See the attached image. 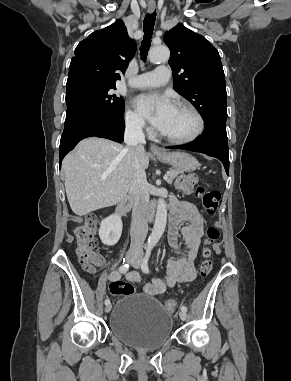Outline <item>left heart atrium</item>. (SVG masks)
<instances>
[{"label": "left heart atrium", "mask_w": 291, "mask_h": 381, "mask_svg": "<svg viewBox=\"0 0 291 381\" xmlns=\"http://www.w3.org/2000/svg\"><path fill=\"white\" fill-rule=\"evenodd\" d=\"M174 107L167 97L157 94L141 95L137 99L138 110L159 130L164 127Z\"/></svg>", "instance_id": "39dd6f15"}]
</instances>
